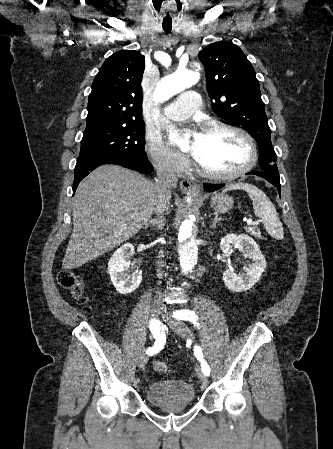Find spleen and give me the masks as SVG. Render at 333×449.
<instances>
[{"instance_id": "obj_1", "label": "spleen", "mask_w": 333, "mask_h": 449, "mask_svg": "<svg viewBox=\"0 0 333 449\" xmlns=\"http://www.w3.org/2000/svg\"><path fill=\"white\" fill-rule=\"evenodd\" d=\"M242 189L245 190L253 202L255 215L262 219L267 233L276 239L284 236L283 226L278 217L276 208L267 195L258 187L248 183H237L227 186L224 192Z\"/></svg>"}]
</instances>
